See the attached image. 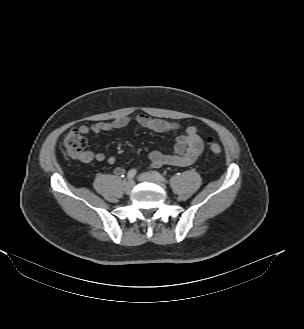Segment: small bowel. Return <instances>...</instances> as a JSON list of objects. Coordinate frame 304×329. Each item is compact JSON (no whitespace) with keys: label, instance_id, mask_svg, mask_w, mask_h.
<instances>
[{"label":"small bowel","instance_id":"obj_1","mask_svg":"<svg viewBox=\"0 0 304 329\" xmlns=\"http://www.w3.org/2000/svg\"><path fill=\"white\" fill-rule=\"evenodd\" d=\"M131 123H136L147 130L158 133L177 134L172 154H163L159 151L149 153L148 158L152 168H159L165 164L187 166L194 163L203 151V141L195 127L189 126L181 132L182 128L178 123L153 118L146 114H138L134 117L122 116L112 122H94L91 125H82L79 128L84 135H99L102 132L123 129ZM80 161L84 163L104 161L108 164H114L116 158L114 156H106L101 152L86 151L80 158ZM116 173L123 174L124 169L119 167L116 169Z\"/></svg>","mask_w":304,"mask_h":329}]
</instances>
